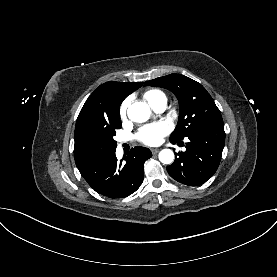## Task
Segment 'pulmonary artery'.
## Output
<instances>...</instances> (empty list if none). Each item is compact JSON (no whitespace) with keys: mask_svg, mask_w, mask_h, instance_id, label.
<instances>
[{"mask_svg":"<svg viewBox=\"0 0 277 277\" xmlns=\"http://www.w3.org/2000/svg\"><path fill=\"white\" fill-rule=\"evenodd\" d=\"M165 107H166V102L163 101L155 105L153 108L157 112H162L165 109Z\"/></svg>","mask_w":277,"mask_h":277,"instance_id":"obj_1","label":"pulmonary artery"}]
</instances>
